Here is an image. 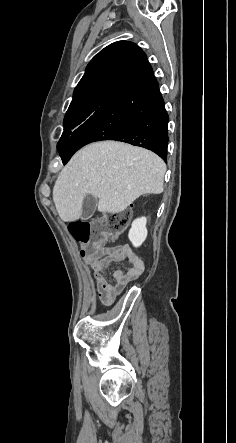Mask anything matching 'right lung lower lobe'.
I'll return each instance as SVG.
<instances>
[{
    "label": "right lung lower lobe",
    "instance_id": "right-lung-lower-lobe-1",
    "mask_svg": "<svg viewBox=\"0 0 236 443\" xmlns=\"http://www.w3.org/2000/svg\"><path fill=\"white\" fill-rule=\"evenodd\" d=\"M168 121L164 100L150 68L130 87L110 95L77 129L60 156L66 164L84 145L109 139L144 147L166 161Z\"/></svg>",
    "mask_w": 236,
    "mask_h": 443
}]
</instances>
